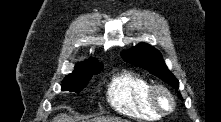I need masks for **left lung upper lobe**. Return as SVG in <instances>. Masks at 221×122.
<instances>
[{"label":"left lung upper lobe","mask_w":221,"mask_h":122,"mask_svg":"<svg viewBox=\"0 0 221 122\" xmlns=\"http://www.w3.org/2000/svg\"><path fill=\"white\" fill-rule=\"evenodd\" d=\"M122 58L126 62L148 70L172 87L179 88L178 80L166 67L161 53L152 46L140 43L130 50L123 52ZM179 97L181 98L180 94Z\"/></svg>","instance_id":"left-lung-upper-lobe-1"}]
</instances>
